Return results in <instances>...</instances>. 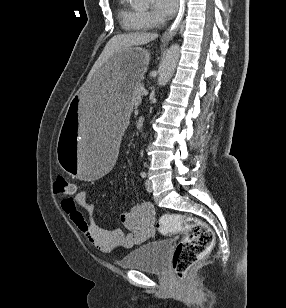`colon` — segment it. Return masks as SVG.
I'll use <instances>...</instances> for the list:
<instances>
[{
    "label": "colon",
    "instance_id": "obj_1",
    "mask_svg": "<svg viewBox=\"0 0 286 308\" xmlns=\"http://www.w3.org/2000/svg\"><path fill=\"white\" fill-rule=\"evenodd\" d=\"M54 192L71 197L75 192V184L67 178L58 177L54 182ZM158 229L165 235L174 232L184 234L174 250L172 267L177 277L185 281L187 271L213 246L212 229L203 221L182 214H163L159 219Z\"/></svg>",
    "mask_w": 286,
    "mask_h": 308
}]
</instances>
